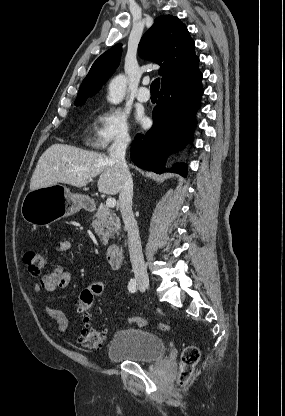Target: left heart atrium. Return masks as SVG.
I'll return each mask as SVG.
<instances>
[{"instance_id":"obj_1","label":"left heart atrium","mask_w":285,"mask_h":416,"mask_svg":"<svg viewBox=\"0 0 285 416\" xmlns=\"http://www.w3.org/2000/svg\"><path fill=\"white\" fill-rule=\"evenodd\" d=\"M138 118H139V120H140V121H142V120H143V118H142V116H141V115H139V116H138Z\"/></svg>"}]
</instances>
